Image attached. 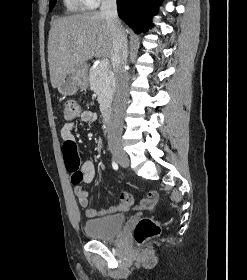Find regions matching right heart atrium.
<instances>
[{
	"label": "right heart atrium",
	"instance_id": "1",
	"mask_svg": "<svg viewBox=\"0 0 247 280\" xmlns=\"http://www.w3.org/2000/svg\"><path fill=\"white\" fill-rule=\"evenodd\" d=\"M102 0H83L84 4L88 7H95L100 4Z\"/></svg>",
	"mask_w": 247,
	"mask_h": 280
}]
</instances>
